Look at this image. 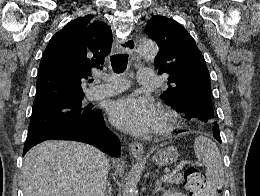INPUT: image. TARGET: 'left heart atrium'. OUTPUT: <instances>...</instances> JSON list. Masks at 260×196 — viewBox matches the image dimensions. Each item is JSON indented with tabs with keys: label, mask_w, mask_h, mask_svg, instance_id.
I'll return each mask as SVG.
<instances>
[{
	"label": "left heart atrium",
	"mask_w": 260,
	"mask_h": 196,
	"mask_svg": "<svg viewBox=\"0 0 260 196\" xmlns=\"http://www.w3.org/2000/svg\"><path fill=\"white\" fill-rule=\"evenodd\" d=\"M109 114L114 125L135 135L148 132L156 121V109L152 102L133 96L114 101Z\"/></svg>",
	"instance_id": "obj_1"
}]
</instances>
